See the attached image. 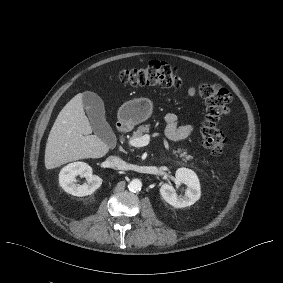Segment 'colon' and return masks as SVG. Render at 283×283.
<instances>
[{
    "mask_svg": "<svg viewBox=\"0 0 283 283\" xmlns=\"http://www.w3.org/2000/svg\"><path fill=\"white\" fill-rule=\"evenodd\" d=\"M117 78L121 83L132 86L170 88L181 85V78L176 68L160 61H150L143 67L123 70ZM199 90L206 105L205 119L200 130L202 143L214 156H221L227 138L219 124L229 112L231 94L216 82L201 84Z\"/></svg>",
    "mask_w": 283,
    "mask_h": 283,
    "instance_id": "1",
    "label": "colon"
}]
</instances>
